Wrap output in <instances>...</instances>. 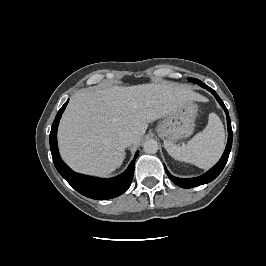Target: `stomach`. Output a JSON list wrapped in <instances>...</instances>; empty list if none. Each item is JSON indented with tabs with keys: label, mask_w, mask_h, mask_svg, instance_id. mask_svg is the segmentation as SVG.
<instances>
[{
	"label": "stomach",
	"mask_w": 266,
	"mask_h": 266,
	"mask_svg": "<svg viewBox=\"0 0 266 266\" xmlns=\"http://www.w3.org/2000/svg\"><path fill=\"white\" fill-rule=\"evenodd\" d=\"M198 107L188 102L171 112L156 127V132L164 140V144L172 143L192 135Z\"/></svg>",
	"instance_id": "0dacf381"
}]
</instances>
